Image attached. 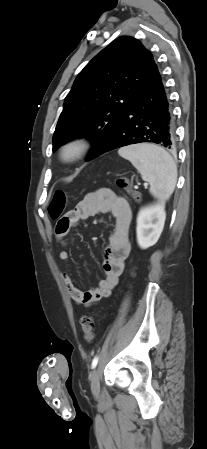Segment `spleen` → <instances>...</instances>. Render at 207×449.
I'll list each match as a JSON object with an SVG mask.
<instances>
[{"label": "spleen", "mask_w": 207, "mask_h": 449, "mask_svg": "<svg viewBox=\"0 0 207 449\" xmlns=\"http://www.w3.org/2000/svg\"><path fill=\"white\" fill-rule=\"evenodd\" d=\"M129 160L144 181L150 184V193L160 200H168L177 182V167L171 155L163 148L148 143L135 144L118 150Z\"/></svg>", "instance_id": "3e777b00"}]
</instances>
